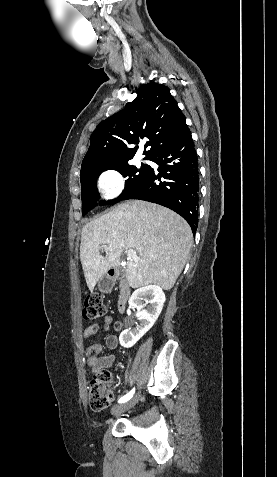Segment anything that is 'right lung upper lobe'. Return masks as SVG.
Listing matches in <instances>:
<instances>
[{
  "mask_svg": "<svg viewBox=\"0 0 277 477\" xmlns=\"http://www.w3.org/2000/svg\"><path fill=\"white\" fill-rule=\"evenodd\" d=\"M137 98L123 110L102 121L90 138L81 170L128 163L138 144L147 137L144 152L150 159L157 151L180 139L188 131L185 116L168 87L151 82L140 87Z\"/></svg>",
  "mask_w": 277,
  "mask_h": 477,
  "instance_id": "cb5924a9",
  "label": "right lung upper lobe"
}]
</instances>
